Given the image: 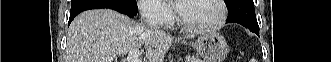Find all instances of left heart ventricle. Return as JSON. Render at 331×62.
I'll return each instance as SVG.
<instances>
[{"mask_svg":"<svg viewBox=\"0 0 331 62\" xmlns=\"http://www.w3.org/2000/svg\"><path fill=\"white\" fill-rule=\"evenodd\" d=\"M179 7L183 19L194 26L211 25L220 16V8L215 0L182 1Z\"/></svg>","mask_w":331,"mask_h":62,"instance_id":"obj_1","label":"left heart ventricle"}]
</instances>
